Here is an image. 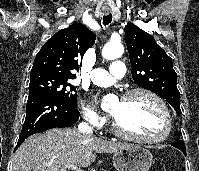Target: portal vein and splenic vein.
Instances as JSON below:
<instances>
[{
  "mask_svg": "<svg viewBox=\"0 0 199 171\" xmlns=\"http://www.w3.org/2000/svg\"><path fill=\"white\" fill-rule=\"evenodd\" d=\"M69 168H71L73 171H82L80 167H77V166L74 165V164H71V165L69 166Z\"/></svg>",
  "mask_w": 199,
  "mask_h": 171,
  "instance_id": "18ae733b",
  "label": "portal vein and splenic vein"
}]
</instances>
